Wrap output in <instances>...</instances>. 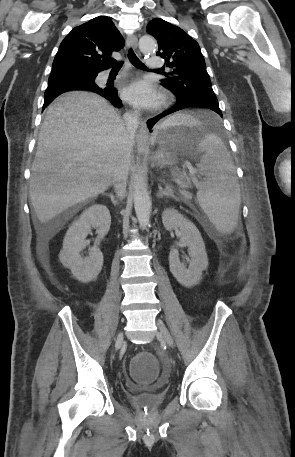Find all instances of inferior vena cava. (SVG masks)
<instances>
[{
	"label": "inferior vena cava",
	"instance_id": "1",
	"mask_svg": "<svg viewBox=\"0 0 295 457\" xmlns=\"http://www.w3.org/2000/svg\"><path fill=\"white\" fill-rule=\"evenodd\" d=\"M123 120L129 134V138L133 139L139 125L138 112L125 113ZM128 174L129 164L125 157H120L115 164L112 183L118 197L121 199L125 197Z\"/></svg>",
	"mask_w": 295,
	"mask_h": 457
}]
</instances>
